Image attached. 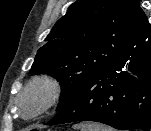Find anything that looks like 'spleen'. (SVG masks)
Returning <instances> with one entry per match:
<instances>
[{"mask_svg": "<svg viewBox=\"0 0 151 131\" xmlns=\"http://www.w3.org/2000/svg\"><path fill=\"white\" fill-rule=\"evenodd\" d=\"M74 129L80 131H114L111 127L98 123L76 124Z\"/></svg>", "mask_w": 151, "mask_h": 131, "instance_id": "obj_1", "label": "spleen"}]
</instances>
